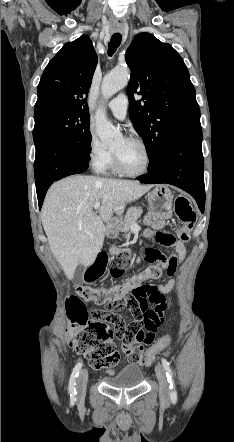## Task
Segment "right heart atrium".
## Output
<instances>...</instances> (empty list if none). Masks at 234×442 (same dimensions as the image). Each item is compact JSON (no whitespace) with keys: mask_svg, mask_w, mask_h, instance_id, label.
I'll return each mask as SVG.
<instances>
[{"mask_svg":"<svg viewBox=\"0 0 234 442\" xmlns=\"http://www.w3.org/2000/svg\"><path fill=\"white\" fill-rule=\"evenodd\" d=\"M88 161L95 171H103L111 159V151L103 145L94 130L88 134Z\"/></svg>","mask_w":234,"mask_h":442,"instance_id":"1","label":"right heart atrium"}]
</instances>
